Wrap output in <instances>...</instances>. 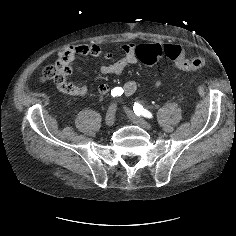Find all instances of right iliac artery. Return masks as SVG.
I'll list each match as a JSON object with an SVG mask.
<instances>
[{"instance_id": "82829eb1", "label": "right iliac artery", "mask_w": 236, "mask_h": 236, "mask_svg": "<svg viewBox=\"0 0 236 236\" xmlns=\"http://www.w3.org/2000/svg\"><path fill=\"white\" fill-rule=\"evenodd\" d=\"M123 89L122 87H115L114 89L111 90V95L113 97H119L123 94Z\"/></svg>"}]
</instances>
